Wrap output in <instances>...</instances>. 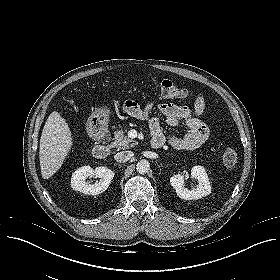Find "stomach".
<instances>
[{"label":"stomach","instance_id":"obj_1","mask_svg":"<svg viewBox=\"0 0 280 280\" xmlns=\"http://www.w3.org/2000/svg\"><path fill=\"white\" fill-rule=\"evenodd\" d=\"M109 111L107 109H99L95 111L90 119H89V126L94 127L97 124H103L105 123L107 117H108Z\"/></svg>","mask_w":280,"mask_h":280}]
</instances>
